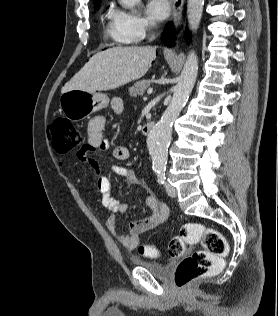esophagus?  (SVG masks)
<instances>
[{
	"label": "esophagus",
	"mask_w": 278,
	"mask_h": 316,
	"mask_svg": "<svg viewBox=\"0 0 278 316\" xmlns=\"http://www.w3.org/2000/svg\"><path fill=\"white\" fill-rule=\"evenodd\" d=\"M184 3L185 0H173L172 20L175 29H178L181 24Z\"/></svg>",
	"instance_id": "obj_1"
}]
</instances>
